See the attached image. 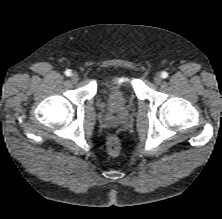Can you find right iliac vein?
<instances>
[{"mask_svg": "<svg viewBox=\"0 0 222 219\" xmlns=\"http://www.w3.org/2000/svg\"><path fill=\"white\" fill-rule=\"evenodd\" d=\"M78 80H79V75H78L77 73H73V74L71 75V81H72L73 83H77Z\"/></svg>", "mask_w": 222, "mask_h": 219, "instance_id": "obj_1", "label": "right iliac vein"}]
</instances>
